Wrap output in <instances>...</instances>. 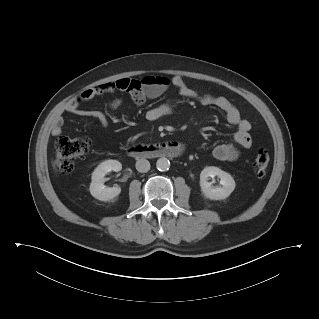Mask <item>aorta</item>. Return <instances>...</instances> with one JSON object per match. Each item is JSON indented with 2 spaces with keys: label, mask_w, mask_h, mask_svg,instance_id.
Returning <instances> with one entry per match:
<instances>
[{
  "label": "aorta",
  "mask_w": 319,
  "mask_h": 319,
  "mask_svg": "<svg viewBox=\"0 0 319 319\" xmlns=\"http://www.w3.org/2000/svg\"><path fill=\"white\" fill-rule=\"evenodd\" d=\"M156 166L159 171H167L170 167V162L167 158H160L157 160Z\"/></svg>",
  "instance_id": "1"
}]
</instances>
